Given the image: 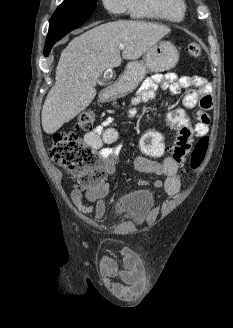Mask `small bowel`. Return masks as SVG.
Instances as JSON below:
<instances>
[{"mask_svg": "<svg viewBox=\"0 0 233 328\" xmlns=\"http://www.w3.org/2000/svg\"><path fill=\"white\" fill-rule=\"evenodd\" d=\"M158 88L169 90L176 95L182 89H189L185 94L183 103L185 107L199 106L196 113V121L193 124V133L196 137H204L209 131L210 117L207 113L213 106L212 87L206 78L201 76H178L173 72L155 74L144 81L133 104L152 101ZM131 117L137 116V110L129 111ZM113 119L105 118L99 125L85 134L84 141L93 150L100 152L105 160V171L112 174L118 161L120 147L115 145L118 139L117 130L112 127ZM135 168L143 173L157 175L163 180H157L153 185L164 188L169 196H175L180 191L181 180L180 167L170 157L166 156L163 161L158 162L147 157L140 156L135 160ZM140 186L148 185L146 180H139ZM108 193V184L102 182L85 190L75 188L71 192V199L77 209L83 213L95 212L100 219L105 211L104 198ZM123 268L120 269L117 261L110 256H103L100 267L104 274V285L118 298L132 300L140 296L145 287V272L140 258L131 250L120 251Z\"/></svg>", "mask_w": 233, "mask_h": 328, "instance_id": "c3829d8e", "label": "small bowel"}]
</instances>
